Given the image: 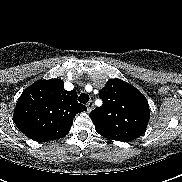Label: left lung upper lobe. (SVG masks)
<instances>
[{"label": "left lung upper lobe", "instance_id": "5c2ea615", "mask_svg": "<svg viewBox=\"0 0 182 182\" xmlns=\"http://www.w3.org/2000/svg\"><path fill=\"white\" fill-rule=\"evenodd\" d=\"M99 97L103 105L89 114L97 133L118 141H131L145 133L150 109L138 89L123 80L110 79Z\"/></svg>", "mask_w": 182, "mask_h": 182}]
</instances>
